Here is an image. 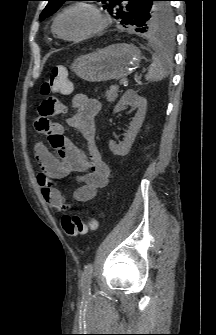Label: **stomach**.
<instances>
[{"instance_id":"1","label":"stomach","mask_w":216,"mask_h":335,"mask_svg":"<svg viewBox=\"0 0 216 335\" xmlns=\"http://www.w3.org/2000/svg\"><path fill=\"white\" fill-rule=\"evenodd\" d=\"M142 58L135 45L117 43L78 57L71 69L88 82L118 80L133 72Z\"/></svg>"}]
</instances>
